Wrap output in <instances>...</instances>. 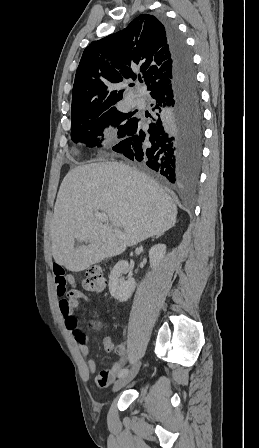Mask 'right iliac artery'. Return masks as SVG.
<instances>
[{
	"label": "right iliac artery",
	"instance_id": "right-iliac-artery-1",
	"mask_svg": "<svg viewBox=\"0 0 259 448\" xmlns=\"http://www.w3.org/2000/svg\"><path fill=\"white\" fill-rule=\"evenodd\" d=\"M128 373V369L127 368H124V369H122L119 373H118V377L119 378H121V377H123L125 374H127Z\"/></svg>",
	"mask_w": 259,
	"mask_h": 448
}]
</instances>
